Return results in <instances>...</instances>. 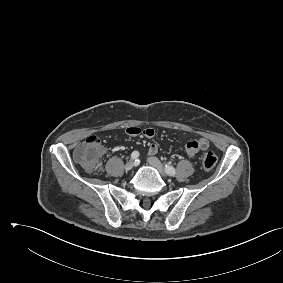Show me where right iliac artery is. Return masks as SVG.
Segmentation results:
<instances>
[{"label": "right iliac artery", "instance_id": "right-iliac-artery-1", "mask_svg": "<svg viewBox=\"0 0 283 283\" xmlns=\"http://www.w3.org/2000/svg\"><path fill=\"white\" fill-rule=\"evenodd\" d=\"M139 157V152L138 151H133L131 154V160H137Z\"/></svg>", "mask_w": 283, "mask_h": 283}]
</instances>
